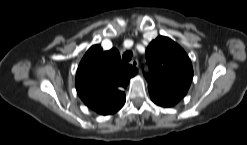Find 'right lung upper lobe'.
I'll list each match as a JSON object with an SVG mask.
<instances>
[{
  "mask_svg": "<svg viewBox=\"0 0 247 145\" xmlns=\"http://www.w3.org/2000/svg\"><path fill=\"white\" fill-rule=\"evenodd\" d=\"M138 70L123 64L117 49L102 52L94 45L82 58L75 85L83 102L102 115L116 113L126 101L123 89Z\"/></svg>",
  "mask_w": 247,
  "mask_h": 145,
  "instance_id": "obj_1",
  "label": "right lung upper lobe"
}]
</instances>
